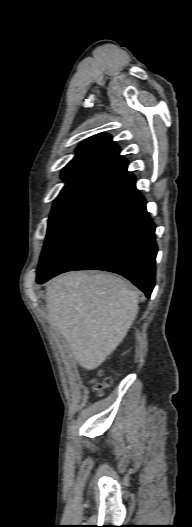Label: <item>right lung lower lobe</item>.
I'll list each match as a JSON object with an SVG mask.
<instances>
[{
    "instance_id": "obj_1",
    "label": "right lung lower lobe",
    "mask_w": 192,
    "mask_h": 527,
    "mask_svg": "<svg viewBox=\"0 0 192 527\" xmlns=\"http://www.w3.org/2000/svg\"><path fill=\"white\" fill-rule=\"evenodd\" d=\"M127 168L107 182L39 262L37 283L72 270L123 275L150 297L155 285V224Z\"/></svg>"
}]
</instances>
